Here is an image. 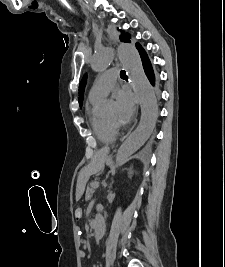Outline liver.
Listing matches in <instances>:
<instances>
[{"label": "liver", "instance_id": "liver-1", "mask_svg": "<svg viewBox=\"0 0 225 267\" xmlns=\"http://www.w3.org/2000/svg\"><path fill=\"white\" fill-rule=\"evenodd\" d=\"M107 153H108L107 150H100L93 156L91 164L88 167V172L90 174L97 173L98 171L101 170ZM82 193H83V189H81V191L77 194L76 198L79 199Z\"/></svg>", "mask_w": 225, "mask_h": 267}]
</instances>
